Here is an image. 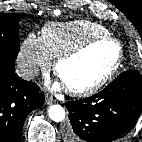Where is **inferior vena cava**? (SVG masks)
<instances>
[{
  "label": "inferior vena cava",
  "mask_w": 142,
  "mask_h": 142,
  "mask_svg": "<svg viewBox=\"0 0 142 142\" xmlns=\"http://www.w3.org/2000/svg\"><path fill=\"white\" fill-rule=\"evenodd\" d=\"M17 73L24 80H31L39 73V68L33 65L21 64L18 65Z\"/></svg>",
  "instance_id": "602c4592"
}]
</instances>
